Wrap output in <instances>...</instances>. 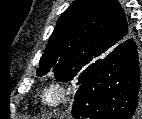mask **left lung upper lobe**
<instances>
[{
    "instance_id": "left-lung-upper-lobe-1",
    "label": "left lung upper lobe",
    "mask_w": 142,
    "mask_h": 119,
    "mask_svg": "<svg viewBox=\"0 0 142 119\" xmlns=\"http://www.w3.org/2000/svg\"><path fill=\"white\" fill-rule=\"evenodd\" d=\"M131 31L117 0H76L59 18L37 76L51 73L62 82L76 78L80 86Z\"/></svg>"
}]
</instances>
